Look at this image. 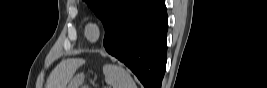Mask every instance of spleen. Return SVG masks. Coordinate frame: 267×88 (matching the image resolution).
Returning a JSON list of instances; mask_svg holds the SVG:
<instances>
[{
  "instance_id": "obj_1",
  "label": "spleen",
  "mask_w": 267,
  "mask_h": 88,
  "mask_svg": "<svg viewBox=\"0 0 267 88\" xmlns=\"http://www.w3.org/2000/svg\"><path fill=\"white\" fill-rule=\"evenodd\" d=\"M103 74L106 83L112 88H137L133 78L123 67L106 64L103 66Z\"/></svg>"
}]
</instances>
